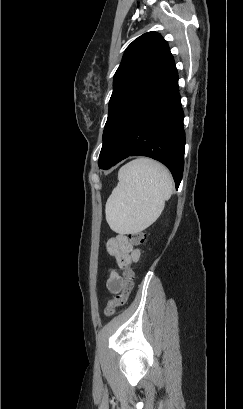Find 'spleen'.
<instances>
[{
	"label": "spleen",
	"instance_id": "spleen-1",
	"mask_svg": "<svg viewBox=\"0 0 243 409\" xmlns=\"http://www.w3.org/2000/svg\"><path fill=\"white\" fill-rule=\"evenodd\" d=\"M173 192V179L160 163L149 158L130 161L118 172L105 214L112 230L140 232L153 224Z\"/></svg>",
	"mask_w": 243,
	"mask_h": 409
}]
</instances>
